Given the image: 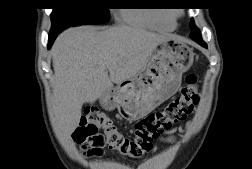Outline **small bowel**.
I'll return each instance as SVG.
<instances>
[{
  "instance_id": "small-bowel-1",
  "label": "small bowel",
  "mask_w": 252,
  "mask_h": 169,
  "mask_svg": "<svg viewBox=\"0 0 252 169\" xmlns=\"http://www.w3.org/2000/svg\"><path fill=\"white\" fill-rule=\"evenodd\" d=\"M172 139H173V137H172V136H170V137L165 138V139H163V140H166V141H171Z\"/></svg>"
}]
</instances>
